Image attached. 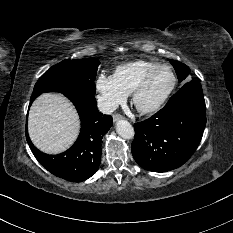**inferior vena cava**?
Returning a JSON list of instances; mask_svg holds the SVG:
<instances>
[{
  "label": "inferior vena cava",
  "instance_id": "obj_1",
  "mask_svg": "<svg viewBox=\"0 0 233 233\" xmlns=\"http://www.w3.org/2000/svg\"><path fill=\"white\" fill-rule=\"evenodd\" d=\"M97 106L100 112L104 114H111L118 108V104L104 97H99Z\"/></svg>",
  "mask_w": 233,
  "mask_h": 233
}]
</instances>
